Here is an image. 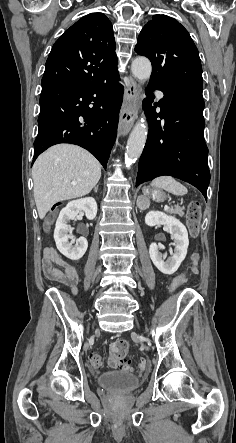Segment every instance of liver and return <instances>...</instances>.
<instances>
[{
    "label": "liver",
    "instance_id": "6515ba94",
    "mask_svg": "<svg viewBox=\"0 0 236 443\" xmlns=\"http://www.w3.org/2000/svg\"><path fill=\"white\" fill-rule=\"evenodd\" d=\"M100 177V163L79 146L59 144L43 152L32 168L34 199L40 219L56 202L89 194Z\"/></svg>",
    "mask_w": 236,
    "mask_h": 443
}]
</instances>
